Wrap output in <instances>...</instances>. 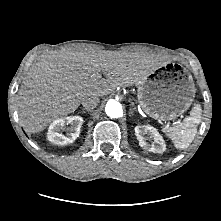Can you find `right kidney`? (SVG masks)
I'll return each instance as SVG.
<instances>
[{"instance_id": "right-kidney-1", "label": "right kidney", "mask_w": 221, "mask_h": 221, "mask_svg": "<svg viewBox=\"0 0 221 221\" xmlns=\"http://www.w3.org/2000/svg\"><path fill=\"white\" fill-rule=\"evenodd\" d=\"M82 124L83 118L80 116H68L56 119L48 128L47 139L56 145L72 143L79 137ZM65 125H70L66 136L61 133Z\"/></svg>"}]
</instances>
